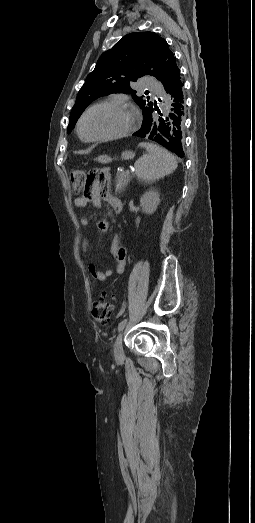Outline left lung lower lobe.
<instances>
[{
    "label": "left lung lower lobe",
    "instance_id": "1",
    "mask_svg": "<svg viewBox=\"0 0 255 523\" xmlns=\"http://www.w3.org/2000/svg\"><path fill=\"white\" fill-rule=\"evenodd\" d=\"M185 85L186 82L181 80V77H174L173 84L165 87V93L172 98L171 116L168 114L156 116L157 111H151L147 125L135 132L137 137H149V140H154V145L170 146L169 152L177 153L180 161H185L184 148L182 147L185 144L182 137L185 113L182 110L184 109L183 103H186V100L183 97V89H180L184 88Z\"/></svg>",
    "mask_w": 255,
    "mask_h": 523
}]
</instances>
